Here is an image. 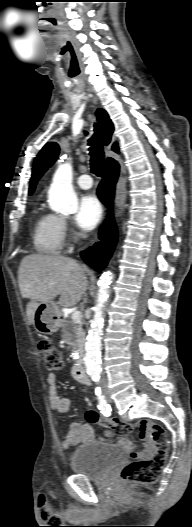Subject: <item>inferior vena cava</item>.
Listing matches in <instances>:
<instances>
[{
    "mask_svg": "<svg viewBox=\"0 0 192 527\" xmlns=\"http://www.w3.org/2000/svg\"><path fill=\"white\" fill-rule=\"evenodd\" d=\"M105 383H106L105 379L102 378V379H101V384H102V385H105Z\"/></svg>",
    "mask_w": 192,
    "mask_h": 527,
    "instance_id": "602c4592",
    "label": "inferior vena cava"
}]
</instances>
